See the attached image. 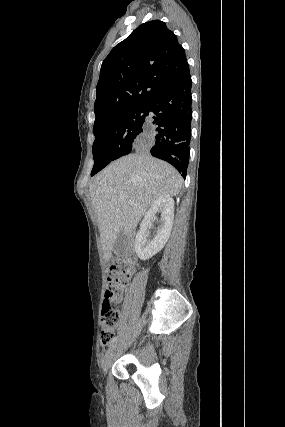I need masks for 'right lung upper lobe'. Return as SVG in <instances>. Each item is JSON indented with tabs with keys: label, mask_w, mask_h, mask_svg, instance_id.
<instances>
[{
	"label": "right lung upper lobe",
	"mask_w": 285,
	"mask_h": 427,
	"mask_svg": "<svg viewBox=\"0 0 285 427\" xmlns=\"http://www.w3.org/2000/svg\"><path fill=\"white\" fill-rule=\"evenodd\" d=\"M188 73L185 51L165 23L153 20L140 25L102 63L94 127L118 112L148 103Z\"/></svg>",
	"instance_id": "right-lung-upper-lobe-1"
}]
</instances>
